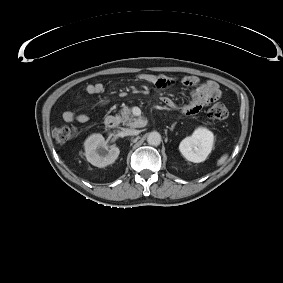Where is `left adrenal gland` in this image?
Returning <instances> with one entry per match:
<instances>
[{"label": "left adrenal gland", "mask_w": 283, "mask_h": 283, "mask_svg": "<svg viewBox=\"0 0 283 283\" xmlns=\"http://www.w3.org/2000/svg\"><path fill=\"white\" fill-rule=\"evenodd\" d=\"M177 122L173 123L172 126L169 128L171 131L174 130L175 126H176Z\"/></svg>", "instance_id": "1"}]
</instances>
